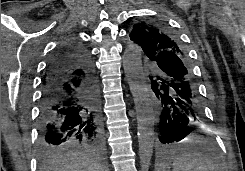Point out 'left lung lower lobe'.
<instances>
[{
  "instance_id": "0a47b994",
  "label": "left lung lower lobe",
  "mask_w": 245,
  "mask_h": 171,
  "mask_svg": "<svg viewBox=\"0 0 245 171\" xmlns=\"http://www.w3.org/2000/svg\"><path fill=\"white\" fill-rule=\"evenodd\" d=\"M154 63L161 69L160 76L150 77L151 87L161 102L158 140L167 145L184 139L193 125L201 126L204 110L187 60L166 53Z\"/></svg>"
}]
</instances>
